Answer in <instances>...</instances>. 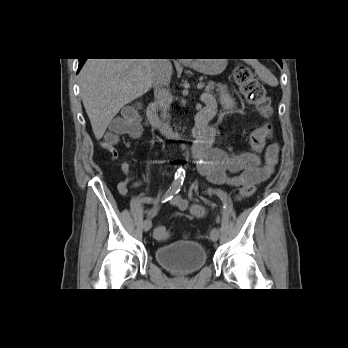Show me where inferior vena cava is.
<instances>
[{
    "label": "inferior vena cava",
    "instance_id": "inferior-vena-cava-1",
    "mask_svg": "<svg viewBox=\"0 0 348 348\" xmlns=\"http://www.w3.org/2000/svg\"><path fill=\"white\" fill-rule=\"evenodd\" d=\"M153 88L155 102L163 121L169 119V111L173 96L169 90L171 81L170 63L168 59H153Z\"/></svg>",
    "mask_w": 348,
    "mask_h": 348
}]
</instances>
